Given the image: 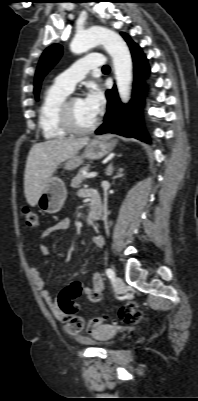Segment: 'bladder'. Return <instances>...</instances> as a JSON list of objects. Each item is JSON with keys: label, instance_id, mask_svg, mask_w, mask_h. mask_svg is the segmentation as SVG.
Masks as SVG:
<instances>
[{"label": "bladder", "instance_id": "bladder-1", "mask_svg": "<svg viewBox=\"0 0 198 401\" xmlns=\"http://www.w3.org/2000/svg\"><path fill=\"white\" fill-rule=\"evenodd\" d=\"M120 331L118 327L115 326H104L98 330L97 334L94 335L93 339L87 340L86 343L89 345L100 344L102 346L108 347L110 345V340Z\"/></svg>", "mask_w": 198, "mask_h": 401}]
</instances>
